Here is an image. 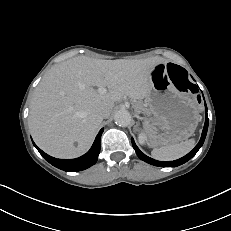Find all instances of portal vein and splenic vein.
I'll return each mask as SVG.
<instances>
[{"label": "portal vein and splenic vein", "instance_id": "1", "mask_svg": "<svg viewBox=\"0 0 231 231\" xmlns=\"http://www.w3.org/2000/svg\"><path fill=\"white\" fill-rule=\"evenodd\" d=\"M98 92L101 93V94H103V93L106 92V89H105L104 87H100V88L98 89Z\"/></svg>", "mask_w": 231, "mask_h": 231}]
</instances>
